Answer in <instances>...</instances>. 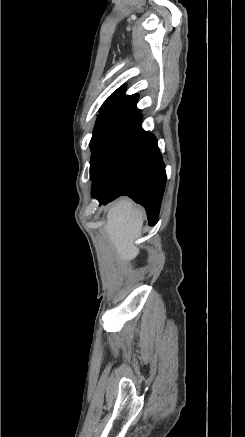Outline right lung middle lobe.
Listing matches in <instances>:
<instances>
[{
	"mask_svg": "<svg viewBox=\"0 0 245 437\" xmlns=\"http://www.w3.org/2000/svg\"><path fill=\"white\" fill-rule=\"evenodd\" d=\"M141 121L142 115L137 110L123 106H107L100 108L90 142L91 179L118 141Z\"/></svg>",
	"mask_w": 245,
	"mask_h": 437,
	"instance_id": "right-lung-middle-lobe-1",
	"label": "right lung middle lobe"
}]
</instances>
